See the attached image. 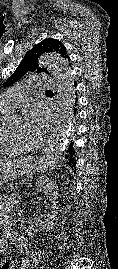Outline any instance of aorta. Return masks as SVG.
Masks as SVG:
<instances>
[{
    "instance_id": "1",
    "label": "aorta",
    "mask_w": 118,
    "mask_h": 269,
    "mask_svg": "<svg viewBox=\"0 0 118 269\" xmlns=\"http://www.w3.org/2000/svg\"><path fill=\"white\" fill-rule=\"evenodd\" d=\"M39 62L57 81L58 109L51 138L39 159L38 170L46 172L62 156L68 142L75 105L74 75L66 60L57 54H45Z\"/></svg>"
}]
</instances>
